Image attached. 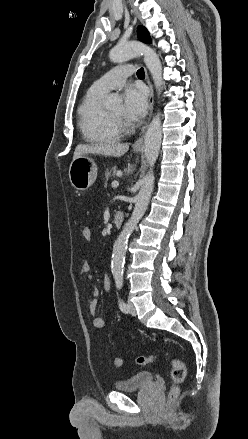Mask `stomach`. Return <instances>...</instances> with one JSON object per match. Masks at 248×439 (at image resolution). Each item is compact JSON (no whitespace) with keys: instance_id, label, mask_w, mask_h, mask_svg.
Returning <instances> with one entry per match:
<instances>
[{"instance_id":"0dacf381","label":"stomach","mask_w":248,"mask_h":439,"mask_svg":"<svg viewBox=\"0 0 248 439\" xmlns=\"http://www.w3.org/2000/svg\"><path fill=\"white\" fill-rule=\"evenodd\" d=\"M139 152L140 150H135ZM97 166L88 155H80L72 160L69 167L71 185L80 191L87 190L96 180Z\"/></svg>"}]
</instances>
